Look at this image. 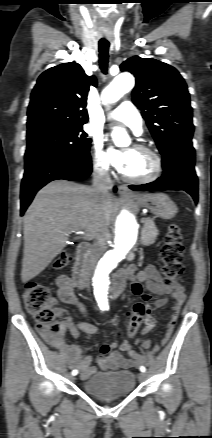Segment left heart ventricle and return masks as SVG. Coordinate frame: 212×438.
I'll use <instances>...</instances> for the list:
<instances>
[{
  "instance_id": "left-heart-ventricle-1",
  "label": "left heart ventricle",
  "mask_w": 212,
  "mask_h": 438,
  "mask_svg": "<svg viewBox=\"0 0 212 438\" xmlns=\"http://www.w3.org/2000/svg\"><path fill=\"white\" fill-rule=\"evenodd\" d=\"M154 163L152 157L138 149H132L123 173L132 178H144L152 173Z\"/></svg>"
}]
</instances>
